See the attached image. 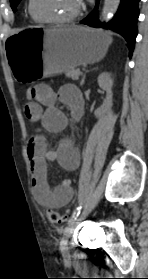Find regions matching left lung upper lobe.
<instances>
[{
  "label": "left lung upper lobe",
  "mask_w": 148,
  "mask_h": 279,
  "mask_svg": "<svg viewBox=\"0 0 148 279\" xmlns=\"http://www.w3.org/2000/svg\"><path fill=\"white\" fill-rule=\"evenodd\" d=\"M21 0H10V4L13 10H15L16 6Z\"/></svg>",
  "instance_id": "left-lung-upper-lobe-1"
}]
</instances>
